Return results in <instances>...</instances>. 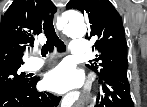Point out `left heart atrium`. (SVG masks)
Instances as JSON below:
<instances>
[{"instance_id": "1", "label": "left heart atrium", "mask_w": 147, "mask_h": 107, "mask_svg": "<svg viewBox=\"0 0 147 107\" xmlns=\"http://www.w3.org/2000/svg\"><path fill=\"white\" fill-rule=\"evenodd\" d=\"M83 75L74 66L62 63L49 71L44 79V86L57 93H66L81 86Z\"/></svg>"}]
</instances>
